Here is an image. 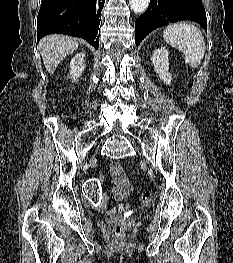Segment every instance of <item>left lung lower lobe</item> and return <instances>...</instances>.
<instances>
[{"instance_id":"obj_1","label":"left lung lower lobe","mask_w":233,"mask_h":263,"mask_svg":"<svg viewBox=\"0 0 233 263\" xmlns=\"http://www.w3.org/2000/svg\"><path fill=\"white\" fill-rule=\"evenodd\" d=\"M181 20H193L206 30L207 18L202 0H150L146 12L135 22L136 45L152 30Z\"/></svg>"}]
</instances>
